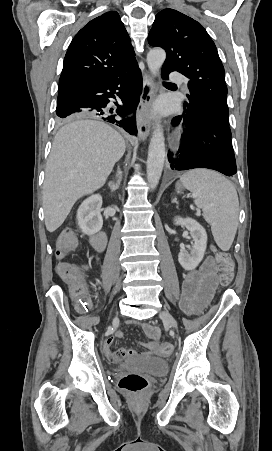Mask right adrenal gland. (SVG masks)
<instances>
[{
	"label": "right adrenal gland",
	"mask_w": 272,
	"mask_h": 451,
	"mask_svg": "<svg viewBox=\"0 0 272 451\" xmlns=\"http://www.w3.org/2000/svg\"><path fill=\"white\" fill-rule=\"evenodd\" d=\"M121 174L122 172H120V170H118L117 172V182H109L108 186L111 190V192H115V190H118L119 186H120V182H121Z\"/></svg>",
	"instance_id": "1"
}]
</instances>
